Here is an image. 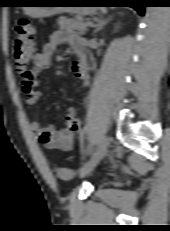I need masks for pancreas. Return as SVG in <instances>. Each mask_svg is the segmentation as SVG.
Returning a JSON list of instances; mask_svg holds the SVG:
<instances>
[{
  "mask_svg": "<svg viewBox=\"0 0 170 231\" xmlns=\"http://www.w3.org/2000/svg\"><path fill=\"white\" fill-rule=\"evenodd\" d=\"M88 21H85L83 18H67L65 16H61L58 18V25L60 29L78 31L84 33L87 31Z\"/></svg>",
  "mask_w": 170,
  "mask_h": 231,
  "instance_id": "pancreas-1",
  "label": "pancreas"
}]
</instances>
